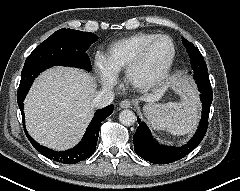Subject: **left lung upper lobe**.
<instances>
[{
    "instance_id": "obj_1",
    "label": "left lung upper lobe",
    "mask_w": 240,
    "mask_h": 191,
    "mask_svg": "<svg viewBox=\"0 0 240 191\" xmlns=\"http://www.w3.org/2000/svg\"><path fill=\"white\" fill-rule=\"evenodd\" d=\"M182 42L186 47L187 53L190 56V59H191L190 62L192 65L193 72H197V71L207 72L206 63L199 49L183 37H182Z\"/></svg>"
}]
</instances>
